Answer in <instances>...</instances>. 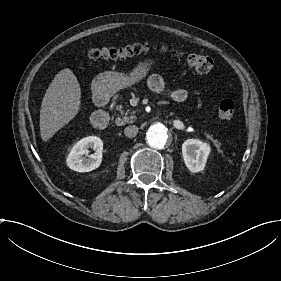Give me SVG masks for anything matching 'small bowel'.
<instances>
[{
  "label": "small bowel",
  "mask_w": 281,
  "mask_h": 281,
  "mask_svg": "<svg viewBox=\"0 0 281 281\" xmlns=\"http://www.w3.org/2000/svg\"><path fill=\"white\" fill-rule=\"evenodd\" d=\"M148 86L152 91L162 94L174 102H184L188 98V92L185 89L170 90L165 81L158 74H152L148 78Z\"/></svg>",
  "instance_id": "small-bowel-1"
}]
</instances>
